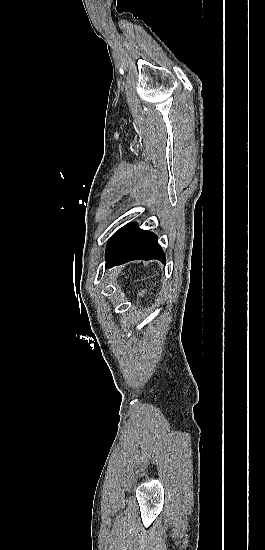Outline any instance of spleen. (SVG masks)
Listing matches in <instances>:
<instances>
[{
	"instance_id": "3e777b00",
	"label": "spleen",
	"mask_w": 265,
	"mask_h": 550,
	"mask_svg": "<svg viewBox=\"0 0 265 550\" xmlns=\"http://www.w3.org/2000/svg\"><path fill=\"white\" fill-rule=\"evenodd\" d=\"M144 292H146V290L145 291L142 290V292L139 295L143 296Z\"/></svg>"
}]
</instances>
